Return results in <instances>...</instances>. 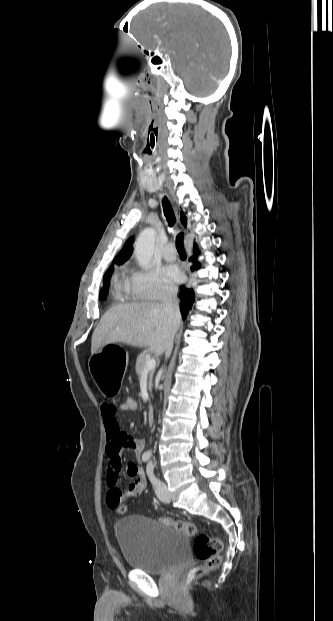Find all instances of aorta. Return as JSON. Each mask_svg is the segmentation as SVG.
I'll return each instance as SVG.
<instances>
[{
    "label": "aorta",
    "instance_id": "aorta-1",
    "mask_svg": "<svg viewBox=\"0 0 333 621\" xmlns=\"http://www.w3.org/2000/svg\"><path fill=\"white\" fill-rule=\"evenodd\" d=\"M155 238H156L155 229L146 228L144 231L140 233V235L138 236L135 242L134 252H135L137 261L139 265L145 269L148 267L151 261V258L153 256ZM147 453L151 454L150 451H148Z\"/></svg>",
    "mask_w": 333,
    "mask_h": 621
}]
</instances>
